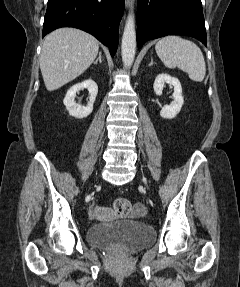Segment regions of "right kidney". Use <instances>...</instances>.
Here are the masks:
<instances>
[{"label":"right kidney","instance_id":"right-kidney-1","mask_svg":"<svg viewBox=\"0 0 240 287\" xmlns=\"http://www.w3.org/2000/svg\"><path fill=\"white\" fill-rule=\"evenodd\" d=\"M86 88L89 91V102L86 106H81L75 102L76 93ZM98 93V86L92 79H87L81 83L73 85L66 93L63 103L69 115L77 119L89 116L93 111V104Z\"/></svg>","mask_w":240,"mask_h":287}]
</instances>
